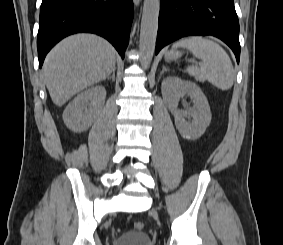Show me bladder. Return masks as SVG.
Returning a JSON list of instances; mask_svg holds the SVG:
<instances>
[{
    "label": "bladder",
    "instance_id": "bladder-1",
    "mask_svg": "<svg viewBox=\"0 0 283 245\" xmlns=\"http://www.w3.org/2000/svg\"><path fill=\"white\" fill-rule=\"evenodd\" d=\"M113 245H153V241L146 232L127 231L121 234Z\"/></svg>",
    "mask_w": 283,
    "mask_h": 245
}]
</instances>
